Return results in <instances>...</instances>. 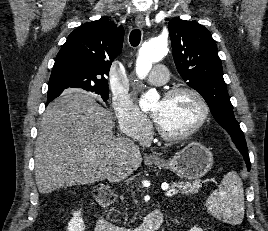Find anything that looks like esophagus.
<instances>
[{
	"label": "esophagus",
	"instance_id": "obj_1",
	"mask_svg": "<svg viewBox=\"0 0 268 231\" xmlns=\"http://www.w3.org/2000/svg\"><path fill=\"white\" fill-rule=\"evenodd\" d=\"M135 23L138 28H143L145 26V20L142 15H137L135 18ZM157 158V157H154Z\"/></svg>",
	"mask_w": 268,
	"mask_h": 231
}]
</instances>
